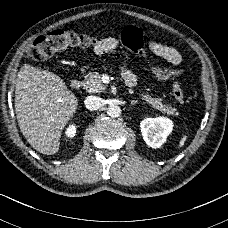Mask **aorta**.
Segmentation results:
<instances>
[{"label":"aorta","instance_id":"762f6f07","mask_svg":"<svg viewBox=\"0 0 228 228\" xmlns=\"http://www.w3.org/2000/svg\"><path fill=\"white\" fill-rule=\"evenodd\" d=\"M107 114L111 118H117L121 115V108L118 105H111L107 109Z\"/></svg>","mask_w":228,"mask_h":228}]
</instances>
